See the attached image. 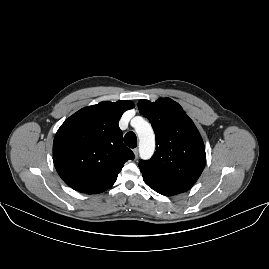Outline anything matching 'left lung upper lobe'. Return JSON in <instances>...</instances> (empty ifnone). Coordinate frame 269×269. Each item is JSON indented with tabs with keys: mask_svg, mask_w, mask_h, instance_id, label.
<instances>
[{
	"mask_svg": "<svg viewBox=\"0 0 269 269\" xmlns=\"http://www.w3.org/2000/svg\"><path fill=\"white\" fill-rule=\"evenodd\" d=\"M139 111L152 124L156 135V152L148 161H140L143 176L166 182L193 186L205 163L201 135L182 107L170 98L153 103L138 102Z\"/></svg>",
	"mask_w": 269,
	"mask_h": 269,
	"instance_id": "obj_1",
	"label": "left lung upper lobe"
}]
</instances>
